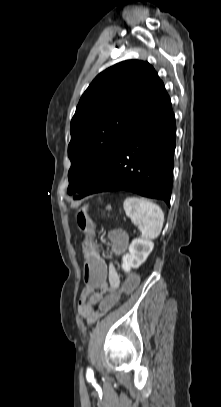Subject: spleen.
I'll use <instances>...</instances> for the list:
<instances>
[{
    "label": "spleen",
    "mask_w": 221,
    "mask_h": 407,
    "mask_svg": "<svg viewBox=\"0 0 221 407\" xmlns=\"http://www.w3.org/2000/svg\"><path fill=\"white\" fill-rule=\"evenodd\" d=\"M124 211L132 223L138 226L144 239L157 238L164 223V213L155 203L138 197L125 199Z\"/></svg>",
    "instance_id": "spleen-1"
}]
</instances>
